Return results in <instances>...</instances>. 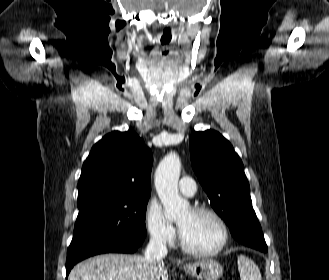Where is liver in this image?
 Wrapping results in <instances>:
<instances>
[{"instance_id": "6515ba94", "label": "liver", "mask_w": 329, "mask_h": 280, "mask_svg": "<svg viewBox=\"0 0 329 280\" xmlns=\"http://www.w3.org/2000/svg\"><path fill=\"white\" fill-rule=\"evenodd\" d=\"M68 280H168L165 263H151L140 255L105 254L77 264Z\"/></svg>"}]
</instances>
